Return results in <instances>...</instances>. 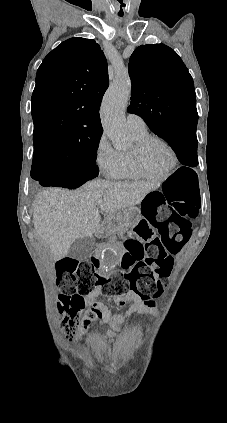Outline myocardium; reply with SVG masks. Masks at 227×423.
I'll return each mask as SVG.
<instances>
[{
    "label": "myocardium",
    "mask_w": 227,
    "mask_h": 423,
    "mask_svg": "<svg viewBox=\"0 0 227 423\" xmlns=\"http://www.w3.org/2000/svg\"><path fill=\"white\" fill-rule=\"evenodd\" d=\"M153 142H159L167 148L171 155V162L168 169L162 174H153L147 170L144 165L143 155L146 148ZM131 158L133 163V168L136 174L142 178L154 181H161L169 178L176 170L178 165V154L175 148L170 142L165 138L157 135H148L142 140L135 143L133 149L131 150Z\"/></svg>",
    "instance_id": "f54148a6"
}]
</instances>
